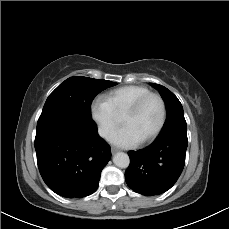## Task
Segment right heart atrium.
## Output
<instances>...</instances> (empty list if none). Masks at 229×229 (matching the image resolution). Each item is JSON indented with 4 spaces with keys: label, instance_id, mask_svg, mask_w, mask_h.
<instances>
[{
    "label": "right heart atrium",
    "instance_id": "1",
    "mask_svg": "<svg viewBox=\"0 0 229 229\" xmlns=\"http://www.w3.org/2000/svg\"><path fill=\"white\" fill-rule=\"evenodd\" d=\"M90 112L100 136L107 141H112L120 128L121 118L112 111L105 99L102 98L92 102Z\"/></svg>",
    "mask_w": 229,
    "mask_h": 229
}]
</instances>
